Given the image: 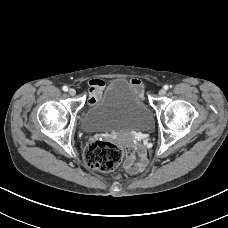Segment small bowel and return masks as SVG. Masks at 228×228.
Instances as JSON below:
<instances>
[{
    "label": "small bowel",
    "instance_id": "obj_1",
    "mask_svg": "<svg viewBox=\"0 0 228 228\" xmlns=\"http://www.w3.org/2000/svg\"><path fill=\"white\" fill-rule=\"evenodd\" d=\"M134 86L137 88L139 93H142L143 87L139 80L133 79L131 81ZM90 85V96H89V104L93 102L96 96L103 90L105 87V82L100 79H92L89 81ZM148 158L147 154L143 149H138L130 146L127 148L126 153V161H125V169L127 172L131 174H138L145 170L147 166Z\"/></svg>",
    "mask_w": 228,
    "mask_h": 228
}]
</instances>
